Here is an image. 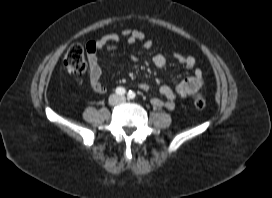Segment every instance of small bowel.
<instances>
[{
  "mask_svg": "<svg viewBox=\"0 0 272 198\" xmlns=\"http://www.w3.org/2000/svg\"><path fill=\"white\" fill-rule=\"evenodd\" d=\"M121 37H126L130 43L142 42L144 48L151 49L153 42L146 40L142 31L123 29L119 33H112L98 39L90 40L86 44L88 70L87 78L91 89L98 94H104L107 91V86L101 81V68L98 63V53L105 47L113 49L114 44L119 42ZM176 61L188 68L193 69V74L183 79L175 88L163 85L159 88V93L165 98L154 97L151 99V104L154 107L173 110L175 108V99L177 96L194 98L201 94L203 85V72L200 68H195L196 60L193 56L184 53H174ZM136 60V58H134ZM154 65L159 69H164L167 66V58L163 53H157L153 57ZM137 87L141 90H148L146 83H139Z\"/></svg>",
  "mask_w": 272,
  "mask_h": 198,
  "instance_id": "1",
  "label": "small bowel"
}]
</instances>
